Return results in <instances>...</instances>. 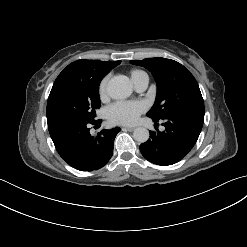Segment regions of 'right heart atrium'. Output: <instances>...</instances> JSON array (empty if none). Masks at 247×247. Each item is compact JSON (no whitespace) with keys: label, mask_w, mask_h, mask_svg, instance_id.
Wrapping results in <instances>:
<instances>
[{"label":"right heart atrium","mask_w":247,"mask_h":247,"mask_svg":"<svg viewBox=\"0 0 247 247\" xmlns=\"http://www.w3.org/2000/svg\"><path fill=\"white\" fill-rule=\"evenodd\" d=\"M107 83H108V76H105L99 83L98 86V95L101 100H106L108 97L107 93Z\"/></svg>","instance_id":"obj_1"}]
</instances>
